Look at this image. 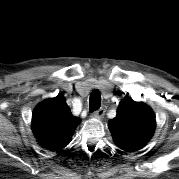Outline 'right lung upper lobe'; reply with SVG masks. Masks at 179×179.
I'll return each instance as SVG.
<instances>
[{
  "mask_svg": "<svg viewBox=\"0 0 179 179\" xmlns=\"http://www.w3.org/2000/svg\"><path fill=\"white\" fill-rule=\"evenodd\" d=\"M80 121L71 114L66 99L59 94L46 99L35 108L32 130L42 147L59 151L70 143Z\"/></svg>",
  "mask_w": 179,
  "mask_h": 179,
  "instance_id": "obj_1",
  "label": "right lung upper lobe"
}]
</instances>
